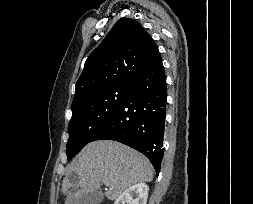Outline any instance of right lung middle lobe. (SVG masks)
<instances>
[{"mask_svg": "<svg viewBox=\"0 0 253 204\" xmlns=\"http://www.w3.org/2000/svg\"><path fill=\"white\" fill-rule=\"evenodd\" d=\"M129 87L130 84L114 85L72 105V118L68 125V159L94 140L125 99Z\"/></svg>", "mask_w": 253, "mask_h": 204, "instance_id": "dd1d6c3e", "label": "right lung middle lobe"}]
</instances>
